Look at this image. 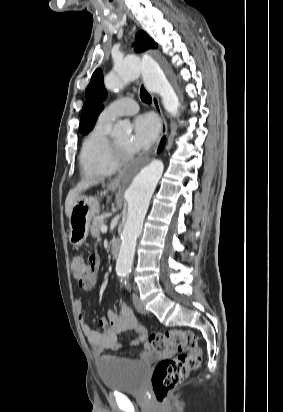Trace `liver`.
I'll return each mask as SVG.
<instances>
[{"mask_svg": "<svg viewBox=\"0 0 283 412\" xmlns=\"http://www.w3.org/2000/svg\"><path fill=\"white\" fill-rule=\"evenodd\" d=\"M100 182L97 179H85L81 181L74 189L70 190L65 201V213L70 217L74 203L80 197V194L86 191L90 186L96 185Z\"/></svg>", "mask_w": 283, "mask_h": 412, "instance_id": "1", "label": "liver"}]
</instances>
